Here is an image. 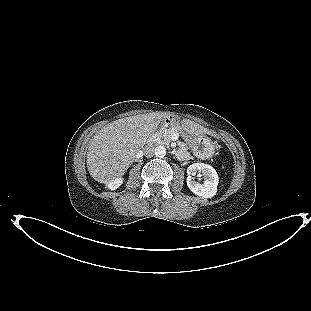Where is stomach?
<instances>
[{"instance_id":"stomach-1","label":"stomach","mask_w":311,"mask_h":311,"mask_svg":"<svg viewBox=\"0 0 311 311\" xmlns=\"http://www.w3.org/2000/svg\"><path fill=\"white\" fill-rule=\"evenodd\" d=\"M173 124L177 130L185 135L195 156L202 159L213 156L215 153V146L209 137L203 134L189 132V130L183 126L182 121L179 122L177 119L173 121Z\"/></svg>"}]
</instances>
